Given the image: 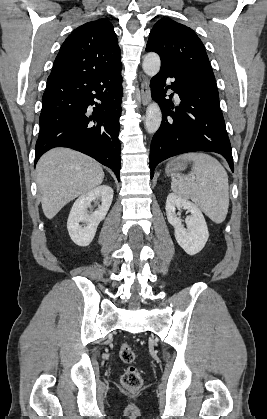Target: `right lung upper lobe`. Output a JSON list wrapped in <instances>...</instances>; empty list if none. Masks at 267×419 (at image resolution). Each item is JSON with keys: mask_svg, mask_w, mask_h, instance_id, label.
<instances>
[{"mask_svg": "<svg viewBox=\"0 0 267 419\" xmlns=\"http://www.w3.org/2000/svg\"><path fill=\"white\" fill-rule=\"evenodd\" d=\"M121 65V52L112 24L106 19L87 22L64 41L50 76L92 73Z\"/></svg>", "mask_w": 267, "mask_h": 419, "instance_id": "1", "label": "right lung upper lobe"}]
</instances>
